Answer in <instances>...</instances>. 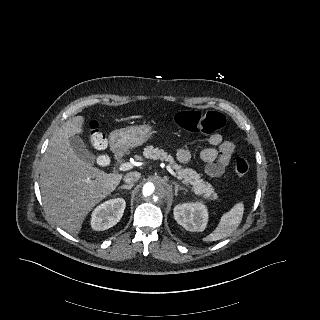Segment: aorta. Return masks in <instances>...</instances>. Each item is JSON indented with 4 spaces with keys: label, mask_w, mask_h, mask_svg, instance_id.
<instances>
[{
    "label": "aorta",
    "mask_w": 320,
    "mask_h": 320,
    "mask_svg": "<svg viewBox=\"0 0 320 320\" xmlns=\"http://www.w3.org/2000/svg\"><path fill=\"white\" fill-rule=\"evenodd\" d=\"M169 193L170 185L158 176L149 179L141 188L142 199L149 205H158Z\"/></svg>",
    "instance_id": "762f6f07"
}]
</instances>
